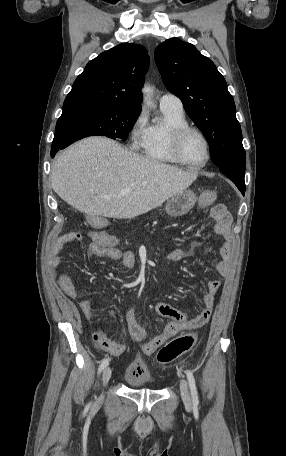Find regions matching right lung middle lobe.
<instances>
[{
    "label": "right lung middle lobe",
    "instance_id": "obj_1",
    "mask_svg": "<svg viewBox=\"0 0 286 456\" xmlns=\"http://www.w3.org/2000/svg\"><path fill=\"white\" fill-rule=\"evenodd\" d=\"M140 112L141 108L91 99L65 100L53 144L63 149L76 140L95 135L125 140Z\"/></svg>",
    "mask_w": 286,
    "mask_h": 456
}]
</instances>
